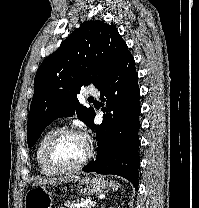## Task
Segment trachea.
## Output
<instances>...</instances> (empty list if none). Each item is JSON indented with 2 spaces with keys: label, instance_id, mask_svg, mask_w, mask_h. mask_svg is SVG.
<instances>
[{
  "label": "trachea",
  "instance_id": "obj_1",
  "mask_svg": "<svg viewBox=\"0 0 199 208\" xmlns=\"http://www.w3.org/2000/svg\"><path fill=\"white\" fill-rule=\"evenodd\" d=\"M88 101H90V102H91V101H94V98H89Z\"/></svg>",
  "mask_w": 199,
  "mask_h": 208
}]
</instances>
